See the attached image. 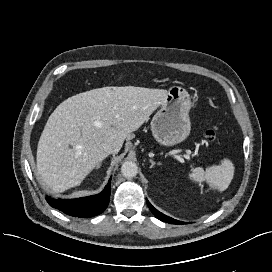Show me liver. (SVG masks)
<instances>
[{
    "label": "liver",
    "mask_w": 272,
    "mask_h": 272,
    "mask_svg": "<svg viewBox=\"0 0 272 272\" xmlns=\"http://www.w3.org/2000/svg\"><path fill=\"white\" fill-rule=\"evenodd\" d=\"M164 89L103 87L76 94L50 115L37 147V172L53 191L79 185L108 154L103 144L121 149L167 97Z\"/></svg>",
    "instance_id": "1"
}]
</instances>
